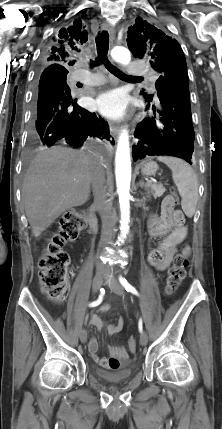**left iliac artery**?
<instances>
[{"label": "left iliac artery", "mask_w": 222, "mask_h": 429, "mask_svg": "<svg viewBox=\"0 0 222 429\" xmlns=\"http://www.w3.org/2000/svg\"><path fill=\"white\" fill-rule=\"evenodd\" d=\"M119 281L127 292H131L135 295H139L138 291L132 285H130L125 278L120 276ZM139 331L142 332V320L141 319L139 320Z\"/></svg>", "instance_id": "44dca946"}]
</instances>
